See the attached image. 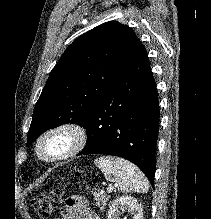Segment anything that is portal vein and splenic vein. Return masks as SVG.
Listing matches in <instances>:
<instances>
[{"instance_id":"1","label":"portal vein and splenic vein","mask_w":211,"mask_h":219,"mask_svg":"<svg viewBox=\"0 0 211 219\" xmlns=\"http://www.w3.org/2000/svg\"><path fill=\"white\" fill-rule=\"evenodd\" d=\"M112 190H113V188L112 187H109V188H107V192H112ZM101 193H104V191H101Z\"/></svg>"}]
</instances>
